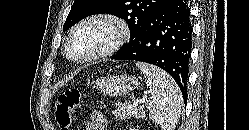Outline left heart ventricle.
<instances>
[{
    "label": "left heart ventricle",
    "instance_id": "b2bd125f",
    "mask_svg": "<svg viewBox=\"0 0 249 130\" xmlns=\"http://www.w3.org/2000/svg\"><path fill=\"white\" fill-rule=\"evenodd\" d=\"M116 36L113 25L105 22L91 23L72 37L69 53L72 57L82 58L109 45Z\"/></svg>",
    "mask_w": 249,
    "mask_h": 130
}]
</instances>
